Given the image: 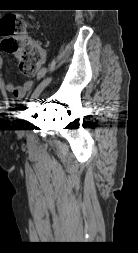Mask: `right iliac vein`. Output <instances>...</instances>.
<instances>
[{
  "mask_svg": "<svg viewBox=\"0 0 138 253\" xmlns=\"http://www.w3.org/2000/svg\"><path fill=\"white\" fill-rule=\"evenodd\" d=\"M52 78L49 77L45 80H43L35 89L32 95L29 96L30 102H29V107H33L35 103V99L39 97V95L42 93V91L49 85L51 82Z\"/></svg>",
  "mask_w": 138,
  "mask_h": 253,
  "instance_id": "obj_1",
  "label": "right iliac vein"
}]
</instances>
